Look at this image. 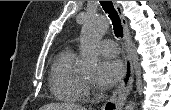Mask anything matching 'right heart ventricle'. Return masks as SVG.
<instances>
[{
  "label": "right heart ventricle",
  "mask_w": 171,
  "mask_h": 110,
  "mask_svg": "<svg viewBox=\"0 0 171 110\" xmlns=\"http://www.w3.org/2000/svg\"><path fill=\"white\" fill-rule=\"evenodd\" d=\"M76 55L72 49L62 50L55 58L50 72L53 95L65 102H82L87 96L83 77L75 70Z\"/></svg>",
  "instance_id": "e07e8e85"
}]
</instances>
